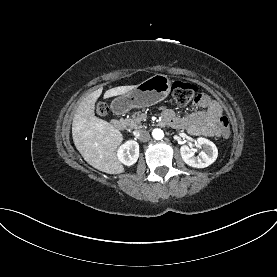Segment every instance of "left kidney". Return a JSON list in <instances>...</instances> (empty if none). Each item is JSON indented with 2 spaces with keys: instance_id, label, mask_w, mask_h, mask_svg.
Here are the masks:
<instances>
[{
  "instance_id": "left-kidney-1",
  "label": "left kidney",
  "mask_w": 277,
  "mask_h": 277,
  "mask_svg": "<svg viewBox=\"0 0 277 277\" xmlns=\"http://www.w3.org/2000/svg\"><path fill=\"white\" fill-rule=\"evenodd\" d=\"M197 145L203 147V150L195 156L192 147L188 145H183L180 148V153L183 161L194 168H205L211 165L218 156L217 147L213 142L206 138H198Z\"/></svg>"
}]
</instances>
